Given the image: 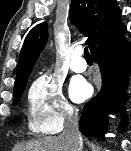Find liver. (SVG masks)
I'll return each mask as SVG.
<instances>
[{"instance_id": "obj_1", "label": "liver", "mask_w": 131, "mask_h": 151, "mask_svg": "<svg viewBox=\"0 0 131 151\" xmlns=\"http://www.w3.org/2000/svg\"><path fill=\"white\" fill-rule=\"evenodd\" d=\"M72 145L61 136H49L16 145L13 151H73Z\"/></svg>"}]
</instances>
